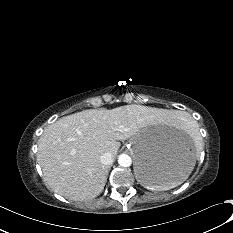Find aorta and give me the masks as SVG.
<instances>
[{"mask_svg": "<svg viewBox=\"0 0 233 233\" xmlns=\"http://www.w3.org/2000/svg\"><path fill=\"white\" fill-rule=\"evenodd\" d=\"M118 163L122 167H129L132 164V159L127 154H121L118 157Z\"/></svg>", "mask_w": 233, "mask_h": 233, "instance_id": "762f6f07", "label": "aorta"}]
</instances>
